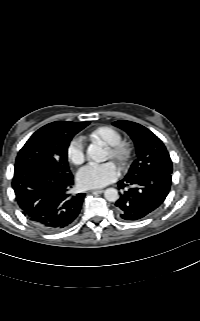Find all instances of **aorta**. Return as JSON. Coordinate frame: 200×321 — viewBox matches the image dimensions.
I'll use <instances>...</instances> for the list:
<instances>
[{"mask_svg":"<svg viewBox=\"0 0 200 321\" xmlns=\"http://www.w3.org/2000/svg\"><path fill=\"white\" fill-rule=\"evenodd\" d=\"M87 155L96 162H102L106 160V153L98 143L90 144L87 149ZM104 197L109 202H116L119 199V194L115 188H108L104 192Z\"/></svg>","mask_w":200,"mask_h":321,"instance_id":"1","label":"aorta"}]
</instances>
